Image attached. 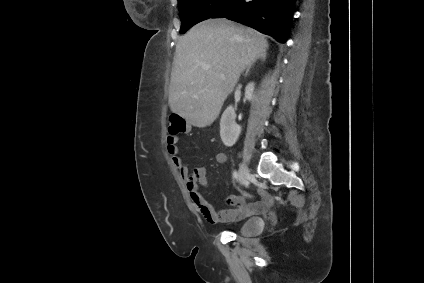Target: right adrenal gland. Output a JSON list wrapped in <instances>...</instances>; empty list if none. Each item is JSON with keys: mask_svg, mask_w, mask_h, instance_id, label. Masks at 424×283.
Returning a JSON list of instances; mask_svg holds the SVG:
<instances>
[{"mask_svg": "<svg viewBox=\"0 0 424 283\" xmlns=\"http://www.w3.org/2000/svg\"><path fill=\"white\" fill-rule=\"evenodd\" d=\"M259 59H261L262 61H265V59H266V54L261 55V56L259 57ZM255 62H256V60H255V61H253L252 63H250V64L248 65V67H247V69H246V71H245V74H244V76H245V77L248 75V73H249L250 69L252 68V66L254 65V63H255Z\"/></svg>", "mask_w": 424, "mask_h": 283, "instance_id": "obj_1", "label": "right adrenal gland"}]
</instances>
